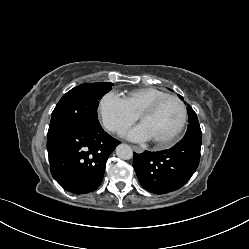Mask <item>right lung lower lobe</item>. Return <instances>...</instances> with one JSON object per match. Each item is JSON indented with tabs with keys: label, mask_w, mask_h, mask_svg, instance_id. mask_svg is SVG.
I'll list each match as a JSON object with an SVG mask.
<instances>
[{
	"label": "right lung lower lobe",
	"mask_w": 249,
	"mask_h": 249,
	"mask_svg": "<svg viewBox=\"0 0 249 249\" xmlns=\"http://www.w3.org/2000/svg\"><path fill=\"white\" fill-rule=\"evenodd\" d=\"M119 143L102 127L76 129L47 139L51 174L71 193L94 191L102 182L109 155Z\"/></svg>",
	"instance_id": "obj_1"
}]
</instances>
